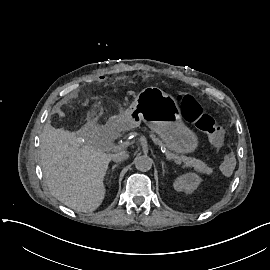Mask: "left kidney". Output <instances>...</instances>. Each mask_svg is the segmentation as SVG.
<instances>
[{"label":"left kidney","mask_w":270,"mask_h":270,"mask_svg":"<svg viewBox=\"0 0 270 270\" xmlns=\"http://www.w3.org/2000/svg\"><path fill=\"white\" fill-rule=\"evenodd\" d=\"M202 179L196 173H186L176 178L173 187L178 192H185L191 194L197 189Z\"/></svg>","instance_id":"left-kidney-1"}]
</instances>
